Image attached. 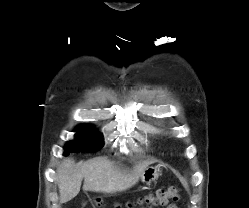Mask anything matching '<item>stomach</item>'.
Masks as SVG:
<instances>
[{
  "label": "stomach",
  "mask_w": 249,
  "mask_h": 208,
  "mask_svg": "<svg viewBox=\"0 0 249 208\" xmlns=\"http://www.w3.org/2000/svg\"><path fill=\"white\" fill-rule=\"evenodd\" d=\"M160 175V168L158 166L147 167L140 175L141 181L150 185Z\"/></svg>",
  "instance_id": "stomach-1"
}]
</instances>
